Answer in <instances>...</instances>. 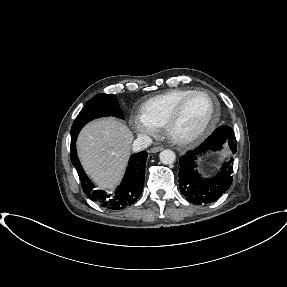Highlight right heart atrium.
I'll list each match as a JSON object with an SVG mask.
<instances>
[{
	"label": "right heart atrium",
	"instance_id": "1",
	"mask_svg": "<svg viewBox=\"0 0 287 287\" xmlns=\"http://www.w3.org/2000/svg\"><path fill=\"white\" fill-rule=\"evenodd\" d=\"M132 122L137 132L143 136H152L158 130V127L145 119L140 112L132 116Z\"/></svg>",
	"mask_w": 287,
	"mask_h": 287
}]
</instances>
